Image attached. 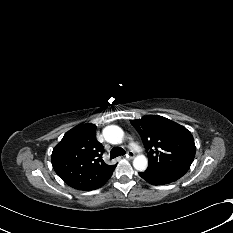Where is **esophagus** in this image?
<instances>
[{"label": "esophagus", "mask_w": 233, "mask_h": 233, "mask_svg": "<svg viewBox=\"0 0 233 233\" xmlns=\"http://www.w3.org/2000/svg\"><path fill=\"white\" fill-rule=\"evenodd\" d=\"M127 158L133 159L135 157V154L132 151L127 152L126 154Z\"/></svg>", "instance_id": "esophagus-1"}]
</instances>
